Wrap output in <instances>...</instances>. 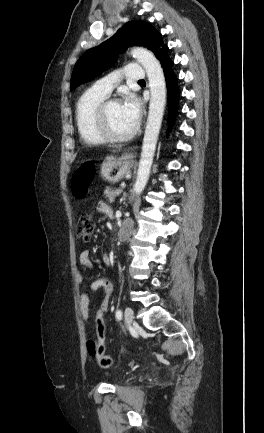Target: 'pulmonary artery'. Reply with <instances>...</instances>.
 I'll return each mask as SVG.
<instances>
[{"mask_svg": "<svg viewBox=\"0 0 264 433\" xmlns=\"http://www.w3.org/2000/svg\"><path fill=\"white\" fill-rule=\"evenodd\" d=\"M119 74L129 80H143L146 76L144 68L130 64L119 73H112L102 79L97 80L94 82L92 89L105 96H108L118 81Z\"/></svg>", "mask_w": 264, "mask_h": 433, "instance_id": "1", "label": "pulmonary artery"}]
</instances>
